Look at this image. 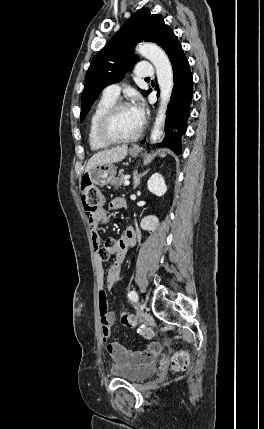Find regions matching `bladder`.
Listing matches in <instances>:
<instances>
[{"label": "bladder", "mask_w": 264, "mask_h": 429, "mask_svg": "<svg viewBox=\"0 0 264 429\" xmlns=\"http://www.w3.org/2000/svg\"><path fill=\"white\" fill-rule=\"evenodd\" d=\"M156 372L157 365L152 362L134 367L116 368L112 370L111 374L116 378L137 383L152 377Z\"/></svg>", "instance_id": "1"}]
</instances>
